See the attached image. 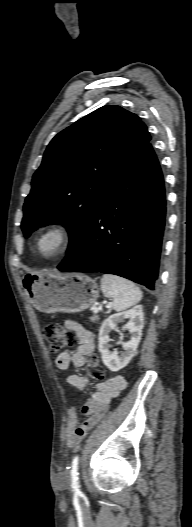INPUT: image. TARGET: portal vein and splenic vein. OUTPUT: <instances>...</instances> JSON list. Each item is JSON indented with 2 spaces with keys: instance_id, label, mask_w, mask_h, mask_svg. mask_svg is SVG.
Wrapping results in <instances>:
<instances>
[{
  "instance_id": "1",
  "label": "portal vein and splenic vein",
  "mask_w": 192,
  "mask_h": 527,
  "mask_svg": "<svg viewBox=\"0 0 192 527\" xmlns=\"http://www.w3.org/2000/svg\"><path fill=\"white\" fill-rule=\"evenodd\" d=\"M93 311L94 313H98L100 311V308H94Z\"/></svg>"
}]
</instances>
